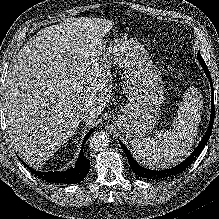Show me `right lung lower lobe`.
<instances>
[{"mask_svg":"<svg viewBox=\"0 0 219 219\" xmlns=\"http://www.w3.org/2000/svg\"><path fill=\"white\" fill-rule=\"evenodd\" d=\"M92 134V130H90L83 140V146L79 153L77 162L75 167L67 170V171H50V172H39L30 167L28 169L34 173L36 176L42 178L43 180L50 181V182H57V183H64V184H76L82 181L89 172L90 169V161L84 156L83 147L86 140ZM27 166V165H26Z\"/></svg>","mask_w":219,"mask_h":219,"instance_id":"right-lung-lower-lobe-1","label":"right lung lower lobe"}]
</instances>
